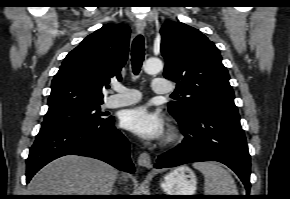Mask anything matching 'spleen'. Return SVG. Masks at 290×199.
<instances>
[{"label": "spleen", "mask_w": 290, "mask_h": 199, "mask_svg": "<svg viewBox=\"0 0 290 199\" xmlns=\"http://www.w3.org/2000/svg\"><path fill=\"white\" fill-rule=\"evenodd\" d=\"M193 167L204 176L205 195H238L235 181L227 170L215 162H198Z\"/></svg>", "instance_id": "spleen-1"}]
</instances>
